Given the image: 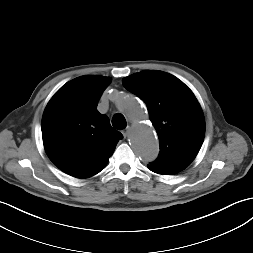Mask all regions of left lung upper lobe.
<instances>
[{
    "instance_id": "5c2ea615",
    "label": "left lung upper lobe",
    "mask_w": 253,
    "mask_h": 253,
    "mask_svg": "<svg viewBox=\"0 0 253 253\" xmlns=\"http://www.w3.org/2000/svg\"><path fill=\"white\" fill-rule=\"evenodd\" d=\"M122 82L146 103L157 131L160 153L150 165L173 172L185 169L205 134L204 115L192 91L175 76L157 70L132 74Z\"/></svg>"
}]
</instances>
